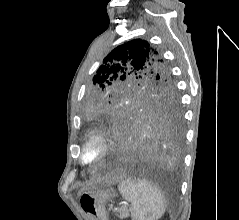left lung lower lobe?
Segmentation results:
<instances>
[{
  "label": "left lung lower lobe",
  "instance_id": "1",
  "mask_svg": "<svg viewBox=\"0 0 239 220\" xmlns=\"http://www.w3.org/2000/svg\"><path fill=\"white\" fill-rule=\"evenodd\" d=\"M112 141L110 163L176 164L183 140L181 112L155 109L140 112L112 108L103 111L95 121Z\"/></svg>",
  "mask_w": 239,
  "mask_h": 220
}]
</instances>
